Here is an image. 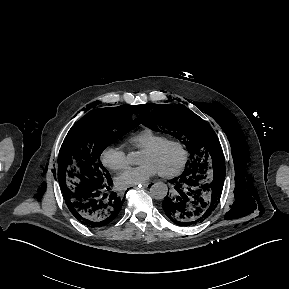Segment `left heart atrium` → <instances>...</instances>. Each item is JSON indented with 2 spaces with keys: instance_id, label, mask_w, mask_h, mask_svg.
Wrapping results in <instances>:
<instances>
[{
  "instance_id": "1",
  "label": "left heart atrium",
  "mask_w": 289,
  "mask_h": 289,
  "mask_svg": "<svg viewBox=\"0 0 289 289\" xmlns=\"http://www.w3.org/2000/svg\"><path fill=\"white\" fill-rule=\"evenodd\" d=\"M158 169L152 164H142L138 167L127 168L115 179L119 188H128L146 183L151 177L158 174Z\"/></svg>"
}]
</instances>
